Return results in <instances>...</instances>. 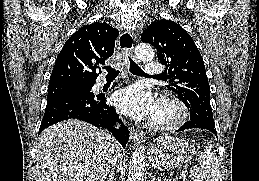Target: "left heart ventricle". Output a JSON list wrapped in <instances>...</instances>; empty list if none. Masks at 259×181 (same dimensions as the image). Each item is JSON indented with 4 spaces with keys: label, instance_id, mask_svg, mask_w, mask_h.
I'll list each match as a JSON object with an SVG mask.
<instances>
[{
    "label": "left heart ventricle",
    "instance_id": "left-heart-ventricle-1",
    "mask_svg": "<svg viewBox=\"0 0 259 181\" xmlns=\"http://www.w3.org/2000/svg\"><path fill=\"white\" fill-rule=\"evenodd\" d=\"M171 115H172V113L169 109L159 105L158 111L155 114L153 120H159V121L166 120V119L170 118Z\"/></svg>",
    "mask_w": 259,
    "mask_h": 181
}]
</instances>
